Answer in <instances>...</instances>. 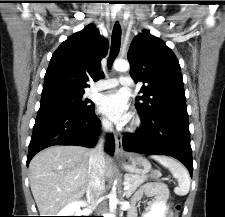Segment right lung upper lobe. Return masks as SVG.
I'll return each mask as SVG.
<instances>
[{"label": "right lung upper lobe", "mask_w": 225, "mask_h": 217, "mask_svg": "<svg viewBox=\"0 0 225 217\" xmlns=\"http://www.w3.org/2000/svg\"><path fill=\"white\" fill-rule=\"evenodd\" d=\"M108 42L89 24L64 41L54 52L44 78L42 94L56 91L85 92L95 80L106 56Z\"/></svg>", "instance_id": "cb5924a9"}]
</instances>
